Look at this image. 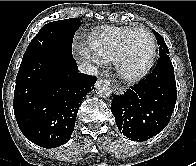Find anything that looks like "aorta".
Returning a JSON list of instances; mask_svg holds the SVG:
<instances>
[{"label": "aorta", "mask_w": 196, "mask_h": 166, "mask_svg": "<svg viewBox=\"0 0 196 166\" xmlns=\"http://www.w3.org/2000/svg\"><path fill=\"white\" fill-rule=\"evenodd\" d=\"M95 91L97 95H99L102 98L110 97L112 94V87L108 80H102L99 79L95 83Z\"/></svg>", "instance_id": "762f6f07"}]
</instances>
